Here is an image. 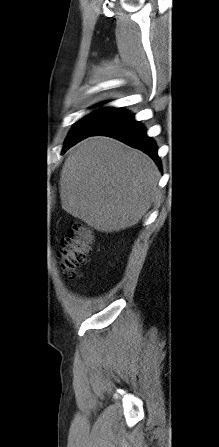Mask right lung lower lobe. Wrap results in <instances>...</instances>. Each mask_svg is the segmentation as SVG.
<instances>
[{
	"mask_svg": "<svg viewBox=\"0 0 219 447\" xmlns=\"http://www.w3.org/2000/svg\"><path fill=\"white\" fill-rule=\"evenodd\" d=\"M93 135H106L116 138L134 148L147 153L161 168L157 147L154 141L147 136L146 130L133 115L127 114L106 125Z\"/></svg>",
	"mask_w": 219,
	"mask_h": 447,
	"instance_id": "right-lung-lower-lobe-1",
	"label": "right lung lower lobe"
}]
</instances>
